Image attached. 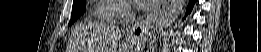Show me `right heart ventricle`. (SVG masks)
<instances>
[{"label": "right heart ventricle", "instance_id": "right-heart-ventricle-1", "mask_svg": "<svg viewBox=\"0 0 261 52\" xmlns=\"http://www.w3.org/2000/svg\"><path fill=\"white\" fill-rule=\"evenodd\" d=\"M121 8L114 1L101 0L93 9V19L103 23L116 24L114 13Z\"/></svg>", "mask_w": 261, "mask_h": 52}]
</instances>
